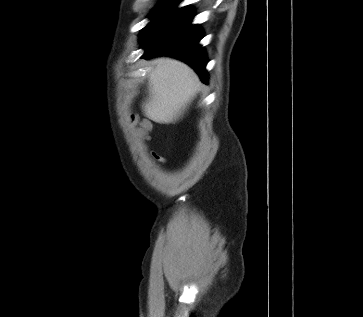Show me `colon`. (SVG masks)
Segmentation results:
<instances>
[{"label": "colon", "mask_w": 363, "mask_h": 317, "mask_svg": "<svg viewBox=\"0 0 363 317\" xmlns=\"http://www.w3.org/2000/svg\"><path fill=\"white\" fill-rule=\"evenodd\" d=\"M139 128L142 132H146L150 128V123L147 120H141L139 122Z\"/></svg>", "instance_id": "obj_1"}]
</instances>
